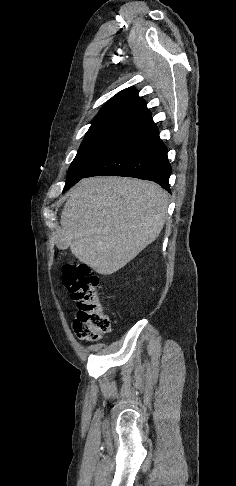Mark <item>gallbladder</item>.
I'll return each mask as SVG.
<instances>
[{"instance_id":"gallbladder-1","label":"gallbladder","mask_w":236,"mask_h":486,"mask_svg":"<svg viewBox=\"0 0 236 486\" xmlns=\"http://www.w3.org/2000/svg\"><path fill=\"white\" fill-rule=\"evenodd\" d=\"M62 237H63V233H62V232H60V231H58V232H57V237H56V245H57V247H58V248H60V249H63V250H64V249H66L68 246H67V244H66L65 242L61 241Z\"/></svg>"}]
</instances>
